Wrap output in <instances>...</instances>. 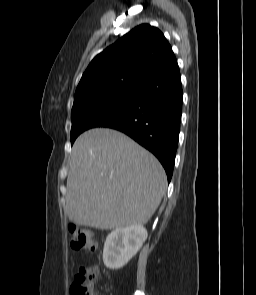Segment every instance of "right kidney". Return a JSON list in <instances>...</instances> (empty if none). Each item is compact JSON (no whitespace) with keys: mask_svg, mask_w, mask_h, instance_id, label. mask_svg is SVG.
<instances>
[{"mask_svg":"<svg viewBox=\"0 0 256 295\" xmlns=\"http://www.w3.org/2000/svg\"><path fill=\"white\" fill-rule=\"evenodd\" d=\"M147 230L142 225L114 229L106 238L103 262L109 269H120L139 251L147 239Z\"/></svg>","mask_w":256,"mask_h":295,"instance_id":"right-kidney-1","label":"right kidney"}]
</instances>
